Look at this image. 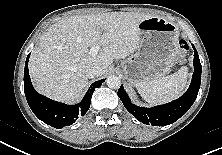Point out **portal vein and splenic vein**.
<instances>
[{
    "instance_id": "18ae733b",
    "label": "portal vein and splenic vein",
    "mask_w": 222,
    "mask_h": 155,
    "mask_svg": "<svg viewBox=\"0 0 222 155\" xmlns=\"http://www.w3.org/2000/svg\"><path fill=\"white\" fill-rule=\"evenodd\" d=\"M100 47L99 46H93L90 49V54L95 57L98 54Z\"/></svg>"
}]
</instances>
